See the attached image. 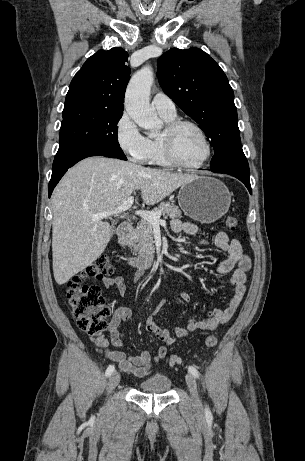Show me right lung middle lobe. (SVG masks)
<instances>
[{
	"label": "right lung middle lobe",
	"instance_id": "obj_1",
	"mask_svg": "<svg viewBox=\"0 0 305 461\" xmlns=\"http://www.w3.org/2000/svg\"><path fill=\"white\" fill-rule=\"evenodd\" d=\"M123 112L91 106L64 108L60 143L56 155L87 148L104 149L127 160L119 146L117 124Z\"/></svg>",
	"mask_w": 305,
	"mask_h": 461
}]
</instances>
